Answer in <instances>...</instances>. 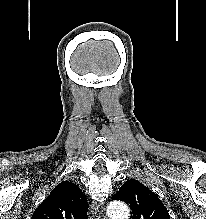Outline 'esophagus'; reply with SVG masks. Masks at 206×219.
Wrapping results in <instances>:
<instances>
[{
    "instance_id": "1",
    "label": "esophagus",
    "mask_w": 206,
    "mask_h": 219,
    "mask_svg": "<svg viewBox=\"0 0 206 219\" xmlns=\"http://www.w3.org/2000/svg\"><path fill=\"white\" fill-rule=\"evenodd\" d=\"M91 212L94 219H108L107 216L101 211L97 202L92 201L91 203Z\"/></svg>"
}]
</instances>
